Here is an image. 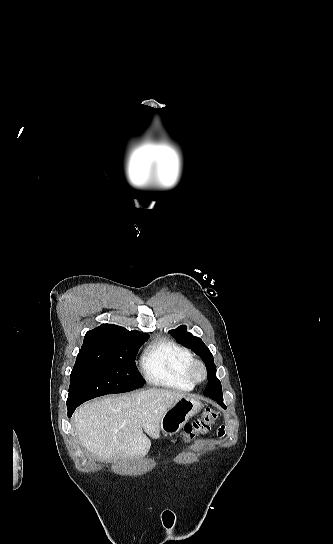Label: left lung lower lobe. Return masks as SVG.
Returning a JSON list of instances; mask_svg holds the SVG:
<instances>
[{"label": "left lung lower lobe", "mask_w": 333, "mask_h": 544, "mask_svg": "<svg viewBox=\"0 0 333 544\" xmlns=\"http://www.w3.org/2000/svg\"><path fill=\"white\" fill-rule=\"evenodd\" d=\"M204 395L215 400L221 407L226 408L225 404L223 403L222 392H210V393H205Z\"/></svg>", "instance_id": "0a47b994"}]
</instances>
